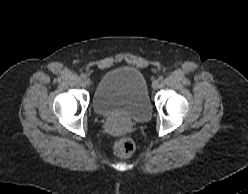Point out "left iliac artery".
Returning a JSON list of instances; mask_svg holds the SVG:
<instances>
[{
	"label": "left iliac artery",
	"instance_id": "left-iliac-artery-1",
	"mask_svg": "<svg viewBox=\"0 0 248 194\" xmlns=\"http://www.w3.org/2000/svg\"><path fill=\"white\" fill-rule=\"evenodd\" d=\"M158 79H159L160 81H163V76H160Z\"/></svg>",
	"mask_w": 248,
	"mask_h": 194
}]
</instances>
